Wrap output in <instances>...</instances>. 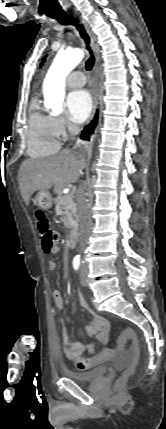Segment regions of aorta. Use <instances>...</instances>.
<instances>
[{
    "label": "aorta",
    "mask_w": 166,
    "mask_h": 429,
    "mask_svg": "<svg viewBox=\"0 0 166 429\" xmlns=\"http://www.w3.org/2000/svg\"><path fill=\"white\" fill-rule=\"evenodd\" d=\"M82 49H68L56 55L43 83L45 106L53 113L63 111L65 97V79L67 75L82 61Z\"/></svg>",
    "instance_id": "aorta-1"
}]
</instances>
